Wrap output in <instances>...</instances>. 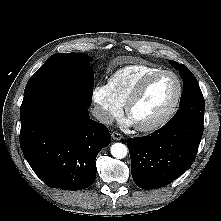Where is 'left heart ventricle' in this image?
Returning <instances> with one entry per match:
<instances>
[{"label": "left heart ventricle", "mask_w": 221, "mask_h": 221, "mask_svg": "<svg viewBox=\"0 0 221 221\" xmlns=\"http://www.w3.org/2000/svg\"><path fill=\"white\" fill-rule=\"evenodd\" d=\"M177 91L175 79L161 75L153 79L130 111L134 124H147L160 117L172 103Z\"/></svg>", "instance_id": "obj_1"}]
</instances>
